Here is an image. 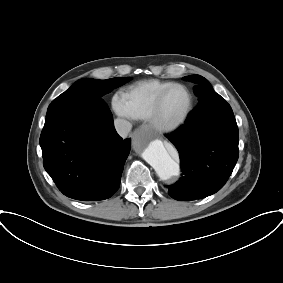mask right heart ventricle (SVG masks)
Here are the masks:
<instances>
[{
    "label": "right heart ventricle",
    "instance_id": "e07e8e85",
    "mask_svg": "<svg viewBox=\"0 0 283 283\" xmlns=\"http://www.w3.org/2000/svg\"><path fill=\"white\" fill-rule=\"evenodd\" d=\"M171 81L149 79L141 81L124 91L121 98L131 118L136 120H148L158 95Z\"/></svg>",
    "mask_w": 283,
    "mask_h": 283
}]
</instances>
